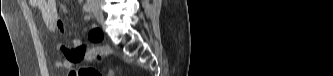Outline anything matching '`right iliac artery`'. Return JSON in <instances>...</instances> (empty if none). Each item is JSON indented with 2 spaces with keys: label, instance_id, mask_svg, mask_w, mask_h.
I'll return each mask as SVG.
<instances>
[{
  "label": "right iliac artery",
  "instance_id": "obj_1",
  "mask_svg": "<svg viewBox=\"0 0 333 76\" xmlns=\"http://www.w3.org/2000/svg\"><path fill=\"white\" fill-rule=\"evenodd\" d=\"M84 11L85 12H90L91 10V3L90 2H87L84 7H83Z\"/></svg>",
  "mask_w": 333,
  "mask_h": 76
}]
</instances>
